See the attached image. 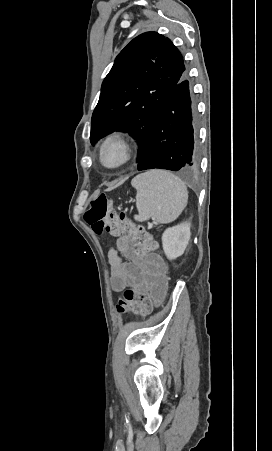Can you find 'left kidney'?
<instances>
[{
    "mask_svg": "<svg viewBox=\"0 0 272 451\" xmlns=\"http://www.w3.org/2000/svg\"><path fill=\"white\" fill-rule=\"evenodd\" d=\"M190 226L191 224H188V222H183L179 226L165 229L162 235V243L168 259H175V257L184 253L191 235Z\"/></svg>",
    "mask_w": 272,
    "mask_h": 451,
    "instance_id": "5707ae66",
    "label": "left kidney"
}]
</instances>
